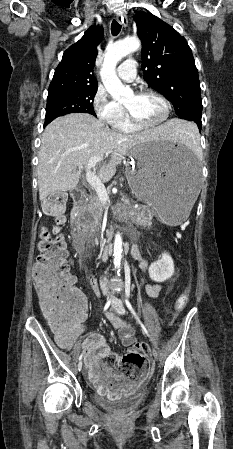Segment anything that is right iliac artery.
Instances as JSON below:
<instances>
[{"instance_id":"right-iliac-artery-1","label":"right iliac artery","mask_w":233,"mask_h":449,"mask_svg":"<svg viewBox=\"0 0 233 449\" xmlns=\"http://www.w3.org/2000/svg\"><path fill=\"white\" fill-rule=\"evenodd\" d=\"M110 303H111V299L108 300L107 303L105 304V306H104V308H103V311H104V312L109 308ZM82 356H83V354H81L80 357H79V361H80V362H81Z\"/></svg>"}]
</instances>
